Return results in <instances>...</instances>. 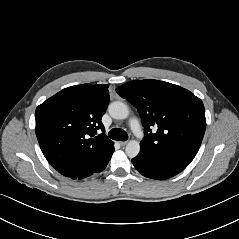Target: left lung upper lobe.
Instances as JSON below:
<instances>
[{
	"mask_svg": "<svg viewBox=\"0 0 239 239\" xmlns=\"http://www.w3.org/2000/svg\"><path fill=\"white\" fill-rule=\"evenodd\" d=\"M116 92L141 116L145 138L140 152L186 168L197 154L206 129L201 99L178 85L148 79L127 82ZM152 127L157 128L156 133H151Z\"/></svg>",
	"mask_w": 239,
	"mask_h": 239,
	"instance_id": "left-lung-upper-lobe-1",
	"label": "left lung upper lobe"
}]
</instances>
